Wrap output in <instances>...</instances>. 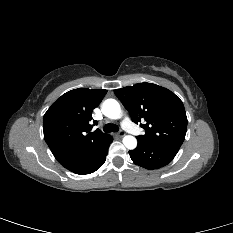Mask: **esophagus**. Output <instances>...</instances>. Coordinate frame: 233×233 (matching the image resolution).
I'll list each match as a JSON object with an SVG mask.
<instances>
[{
    "mask_svg": "<svg viewBox=\"0 0 233 233\" xmlns=\"http://www.w3.org/2000/svg\"><path fill=\"white\" fill-rule=\"evenodd\" d=\"M124 135H125V132L122 130L117 133L118 137H123Z\"/></svg>",
    "mask_w": 233,
    "mask_h": 233,
    "instance_id": "1",
    "label": "esophagus"
}]
</instances>
